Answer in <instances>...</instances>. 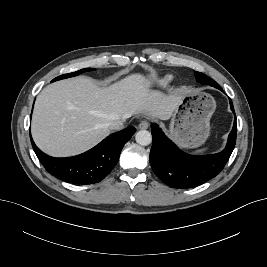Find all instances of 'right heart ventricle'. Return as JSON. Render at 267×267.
<instances>
[{
    "mask_svg": "<svg viewBox=\"0 0 267 267\" xmlns=\"http://www.w3.org/2000/svg\"><path fill=\"white\" fill-rule=\"evenodd\" d=\"M172 81V77L170 75H166L164 77H161L156 81V84L159 87H166L170 82Z\"/></svg>",
    "mask_w": 267,
    "mask_h": 267,
    "instance_id": "e07e8e85",
    "label": "right heart ventricle"
}]
</instances>
